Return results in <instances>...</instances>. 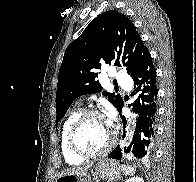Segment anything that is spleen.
Listing matches in <instances>:
<instances>
[{"mask_svg":"<svg viewBox=\"0 0 196 182\" xmlns=\"http://www.w3.org/2000/svg\"><path fill=\"white\" fill-rule=\"evenodd\" d=\"M121 171L125 176L133 175L135 173L134 168L129 165H121Z\"/></svg>","mask_w":196,"mask_h":182,"instance_id":"1","label":"spleen"}]
</instances>
